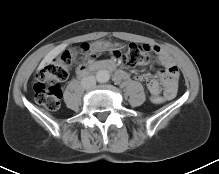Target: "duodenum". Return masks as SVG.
Masks as SVG:
<instances>
[{
	"label": "duodenum",
	"instance_id": "duodenum-1",
	"mask_svg": "<svg viewBox=\"0 0 219 174\" xmlns=\"http://www.w3.org/2000/svg\"><path fill=\"white\" fill-rule=\"evenodd\" d=\"M114 68V65L110 62H98L93 63L89 66H82L79 67L77 70L78 75L85 76L88 75L90 72L98 71V70H111Z\"/></svg>",
	"mask_w": 219,
	"mask_h": 174
}]
</instances>
